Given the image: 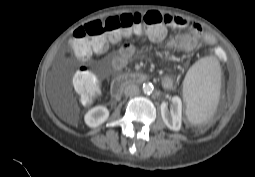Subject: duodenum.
Listing matches in <instances>:
<instances>
[{
  "label": "duodenum",
  "instance_id": "1",
  "mask_svg": "<svg viewBox=\"0 0 255 177\" xmlns=\"http://www.w3.org/2000/svg\"><path fill=\"white\" fill-rule=\"evenodd\" d=\"M147 80V76L142 73H127L116 77L111 85L112 93L118 97L124 87L130 84L142 83Z\"/></svg>",
  "mask_w": 255,
  "mask_h": 177
}]
</instances>
